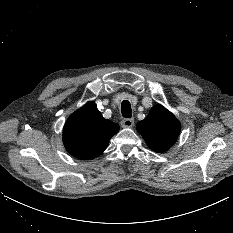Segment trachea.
Returning <instances> with one entry per match:
<instances>
[{
    "label": "trachea",
    "mask_w": 233,
    "mask_h": 233,
    "mask_svg": "<svg viewBox=\"0 0 233 233\" xmlns=\"http://www.w3.org/2000/svg\"><path fill=\"white\" fill-rule=\"evenodd\" d=\"M121 113L123 117L131 118V105L129 101L124 100L121 103Z\"/></svg>",
    "instance_id": "obj_1"
}]
</instances>
